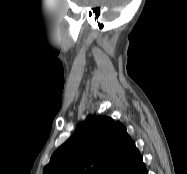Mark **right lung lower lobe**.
<instances>
[{
	"instance_id": "right-lung-lower-lobe-1",
	"label": "right lung lower lobe",
	"mask_w": 187,
	"mask_h": 174,
	"mask_svg": "<svg viewBox=\"0 0 187 174\" xmlns=\"http://www.w3.org/2000/svg\"><path fill=\"white\" fill-rule=\"evenodd\" d=\"M138 174H147L146 168L144 170H142L140 173Z\"/></svg>"
}]
</instances>
